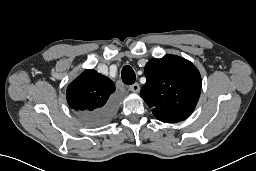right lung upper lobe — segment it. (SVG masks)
Segmentation results:
<instances>
[{"label": "right lung upper lobe", "instance_id": "obj_1", "mask_svg": "<svg viewBox=\"0 0 256 171\" xmlns=\"http://www.w3.org/2000/svg\"><path fill=\"white\" fill-rule=\"evenodd\" d=\"M114 83L95 70H85L67 88L69 106L83 118L86 114L103 108L112 99Z\"/></svg>", "mask_w": 256, "mask_h": 171}]
</instances>
